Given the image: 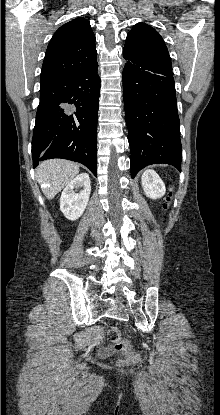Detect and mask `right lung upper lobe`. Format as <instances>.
Listing matches in <instances>:
<instances>
[{"label": "right lung upper lobe", "mask_w": 220, "mask_h": 415, "mask_svg": "<svg viewBox=\"0 0 220 415\" xmlns=\"http://www.w3.org/2000/svg\"><path fill=\"white\" fill-rule=\"evenodd\" d=\"M95 35L90 23L78 17L61 26L46 50L41 87L97 65Z\"/></svg>", "instance_id": "1"}]
</instances>
